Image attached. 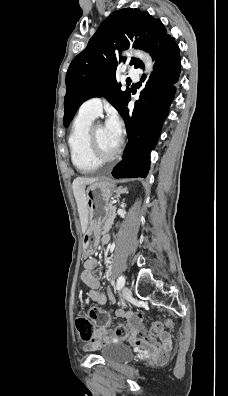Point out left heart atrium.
Masks as SVG:
<instances>
[{
	"instance_id": "1",
	"label": "left heart atrium",
	"mask_w": 228,
	"mask_h": 396,
	"mask_svg": "<svg viewBox=\"0 0 228 396\" xmlns=\"http://www.w3.org/2000/svg\"><path fill=\"white\" fill-rule=\"evenodd\" d=\"M105 127L114 138L120 140L121 122L115 113L110 114V116L108 117L105 123Z\"/></svg>"
}]
</instances>
